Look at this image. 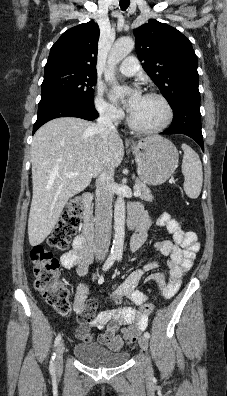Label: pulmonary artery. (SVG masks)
Returning <instances> with one entry per match:
<instances>
[{
    "label": "pulmonary artery",
    "mask_w": 227,
    "mask_h": 396,
    "mask_svg": "<svg viewBox=\"0 0 227 396\" xmlns=\"http://www.w3.org/2000/svg\"><path fill=\"white\" fill-rule=\"evenodd\" d=\"M119 72L125 76H133L139 70V62L136 57H127L119 66Z\"/></svg>",
    "instance_id": "pulmonary-artery-1"
}]
</instances>
